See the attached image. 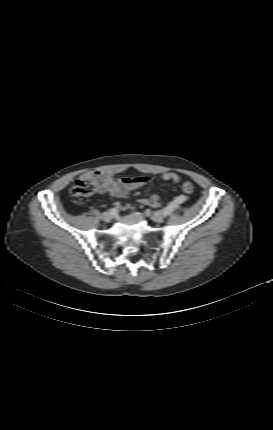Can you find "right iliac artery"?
<instances>
[{"instance_id": "obj_1", "label": "right iliac artery", "mask_w": 273, "mask_h": 430, "mask_svg": "<svg viewBox=\"0 0 273 430\" xmlns=\"http://www.w3.org/2000/svg\"><path fill=\"white\" fill-rule=\"evenodd\" d=\"M111 210H112L114 215L117 214V212H118L117 208H112Z\"/></svg>"}]
</instances>
